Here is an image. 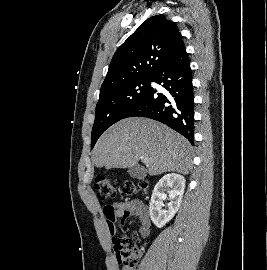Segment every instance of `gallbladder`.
<instances>
[{
	"instance_id": "1",
	"label": "gallbladder",
	"mask_w": 267,
	"mask_h": 270,
	"mask_svg": "<svg viewBox=\"0 0 267 270\" xmlns=\"http://www.w3.org/2000/svg\"><path fill=\"white\" fill-rule=\"evenodd\" d=\"M130 177L135 179H143L146 176V171L138 166H132L128 169Z\"/></svg>"
}]
</instances>
